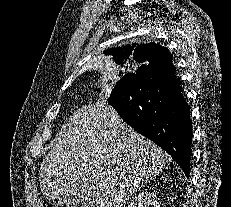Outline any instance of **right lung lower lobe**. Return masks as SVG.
I'll return each mask as SVG.
<instances>
[{
    "instance_id": "1",
    "label": "right lung lower lobe",
    "mask_w": 231,
    "mask_h": 207,
    "mask_svg": "<svg viewBox=\"0 0 231 207\" xmlns=\"http://www.w3.org/2000/svg\"><path fill=\"white\" fill-rule=\"evenodd\" d=\"M108 103L138 133L168 152L189 177L192 121L173 65L138 68L116 84Z\"/></svg>"
}]
</instances>
